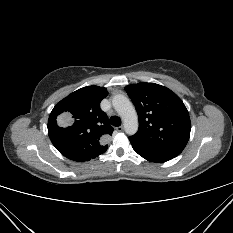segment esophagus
Returning a JSON list of instances; mask_svg holds the SVG:
<instances>
[{
  "label": "esophagus",
  "mask_w": 233,
  "mask_h": 233,
  "mask_svg": "<svg viewBox=\"0 0 233 233\" xmlns=\"http://www.w3.org/2000/svg\"><path fill=\"white\" fill-rule=\"evenodd\" d=\"M123 126H118V127H116V130L118 131V132H122L123 131Z\"/></svg>",
  "instance_id": "34e87169"
}]
</instances>
